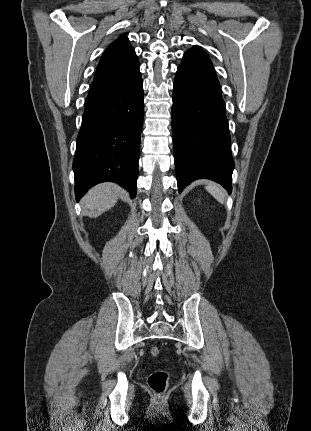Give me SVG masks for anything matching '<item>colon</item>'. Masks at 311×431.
Wrapping results in <instances>:
<instances>
[{"mask_svg": "<svg viewBox=\"0 0 311 431\" xmlns=\"http://www.w3.org/2000/svg\"><path fill=\"white\" fill-rule=\"evenodd\" d=\"M150 353L153 357L159 355V348L154 346L151 348ZM169 375L165 370H156L148 377V385L150 389L156 394L161 395L165 392L168 385Z\"/></svg>", "mask_w": 311, "mask_h": 431, "instance_id": "colon-1", "label": "colon"}]
</instances>
